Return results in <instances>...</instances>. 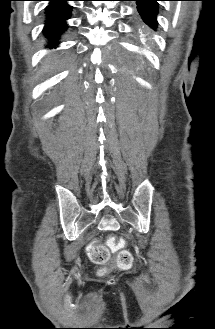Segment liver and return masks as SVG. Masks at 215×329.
I'll use <instances>...</instances> for the list:
<instances>
[{"mask_svg": "<svg viewBox=\"0 0 215 329\" xmlns=\"http://www.w3.org/2000/svg\"><path fill=\"white\" fill-rule=\"evenodd\" d=\"M49 63H50V61H47V62H46L45 66H44V69H45V70H48V69H49V67H50V66H49Z\"/></svg>", "mask_w": 215, "mask_h": 329, "instance_id": "liver-1", "label": "liver"}]
</instances>
